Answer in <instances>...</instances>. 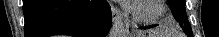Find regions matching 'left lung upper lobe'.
I'll return each mask as SVG.
<instances>
[{"label": "left lung upper lobe", "instance_id": "left-lung-upper-lobe-1", "mask_svg": "<svg viewBox=\"0 0 219 37\" xmlns=\"http://www.w3.org/2000/svg\"><path fill=\"white\" fill-rule=\"evenodd\" d=\"M168 2L173 11L174 18L183 26L185 34L192 35V29L185 10V0H168Z\"/></svg>", "mask_w": 219, "mask_h": 37}]
</instances>
